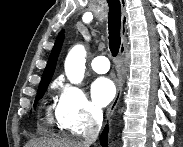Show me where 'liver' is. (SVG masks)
I'll return each instance as SVG.
<instances>
[{"label": "liver", "mask_w": 183, "mask_h": 147, "mask_svg": "<svg viewBox=\"0 0 183 147\" xmlns=\"http://www.w3.org/2000/svg\"><path fill=\"white\" fill-rule=\"evenodd\" d=\"M26 147H87L84 143L69 139L39 138L29 141Z\"/></svg>", "instance_id": "1"}]
</instances>
